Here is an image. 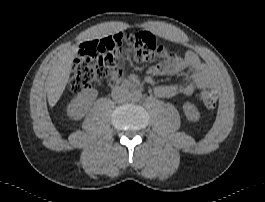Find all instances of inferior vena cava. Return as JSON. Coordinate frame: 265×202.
<instances>
[{"label":"inferior vena cava","instance_id":"obj_1","mask_svg":"<svg viewBox=\"0 0 265 202\" xmlns=\"http://www.w3.org/2000/svg\"><path fill=\"white\" fill-rule=\"evenodd\" d=\"M111 96L116 102H124L130 97V92L125 87L119 86L113 89Z\"/></svg>","mask_w":265,"mask_h":202}]
</instances>
